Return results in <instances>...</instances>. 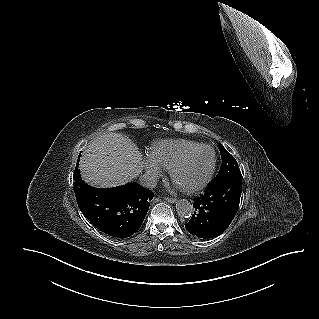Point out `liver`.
I'll list each match as a JSON object with an SVG mask.
<instances>
[{"mask_svg":"<svg viewBox=\"0 0 319 319\" xmlns=\"http://www.w3.org/2000/svg\"><path fill=\"white\" fill-rule=\"evenodd\" d=\"M142 167V155L136 145L123 134L115 132L92 141L80 158L84 180L102 188L132 181Z\"/></svg>","mask_w":319,"mask_h":319,"instance_id":"6515ba94","label":"liver"}]
</instances>
